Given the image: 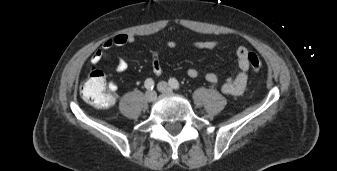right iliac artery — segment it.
<instances>
[{
	"label": "right iliac artery",
	"instance_id": "obj_1",
	"mask_svg": "<svg viewBox=\"0 0 337 171\" xmlns=\"http://www.w3.org/2000/svg\"><path fill=\"white\" fill-rule=\"evenodd\" d=\"M144 86L148 90H152L154 88V81L151 78L146 79Z\"/></svg>",
	"mask_w": 337,
	"mask_h": 171
}]
</instances>
